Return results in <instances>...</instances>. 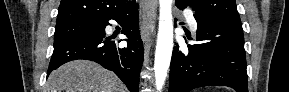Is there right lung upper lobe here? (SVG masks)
I'll use <instances>...</instances> for the list:
<instances>
[{
	"label": "right lung upper lobe",
	"instance_id": "obj_1",
	"mask_svg": "<svg viewBox=\"0 0 289 92\" xmlns=\"http://www.w3.org/2000/svg\"><path fill=\"white\" fill-rule=\"evenodd\" d=\"M136 0H61L57 24L74 21H103L128 10Z\"/></svg>",
	"mask_w": 289,
	"mask_h": 92
}]
</instances>
